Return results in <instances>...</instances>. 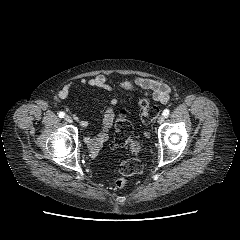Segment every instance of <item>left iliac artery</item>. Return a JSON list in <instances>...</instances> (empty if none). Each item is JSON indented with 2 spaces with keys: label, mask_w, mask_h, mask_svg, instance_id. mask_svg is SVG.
Wrapping results in <instances>:
<instances>
[{
  "label": "left iliac artery",
  "mask_w": 240,
  "mask_h": 240,
  "mask_svg": "<svg viewBox=\"0 0 240 240\" xmlns=\"http://www.w3.org/2000/svg\"><path fill=\"white\" fill-rule=\"evenodd\" d=\"M169 113H170V111H169L168 109H165V110L163 111V115H164L165 117H168Z\"/></svg>",
  "instance_id": "1"
}]
</instances>
